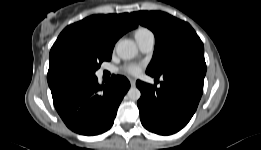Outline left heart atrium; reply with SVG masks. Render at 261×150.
Here are the masks:
<instances>
[{"label": "left heart atrium", "instance_id": "39dd6f15", "mask_svg": "<svg viewBox=\"0 0 261 150\" xmlns=\"http://www.w3.org/2000/svg\"><path fill=\"white\" fill-rule=\"evenodd\" d=\"M141 66L139 64H129L124 67L125 72L137 75L140 72Z\"/></svg>", "mask_w": 261, "mask_h": 150}]
</instances>
